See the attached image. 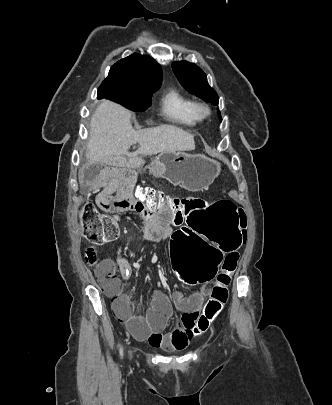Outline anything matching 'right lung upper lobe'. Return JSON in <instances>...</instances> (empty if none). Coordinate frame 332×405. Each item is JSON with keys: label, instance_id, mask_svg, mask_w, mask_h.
I'll return each instance as SVG.
<instances>
[{"label": "right lung upper lobe", "instance_id": "cb5924a9", "mask_svg": "<svg viewBox=\"0 0 332 405\" xmlns=\"http://www.w3.org/2000/svg\"><path fill=\"white\" fill-rule=\"evenodd\" d=\"M108 76H119L136 84L160 85L162 82L161 66L145 55L132 54L116 62Z\"/></svg>", "mask_w": 332, "mask_h": 405}]
</instances>
